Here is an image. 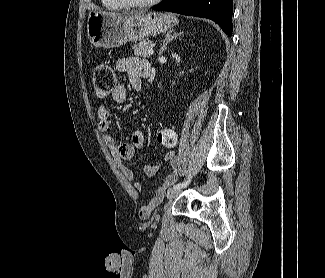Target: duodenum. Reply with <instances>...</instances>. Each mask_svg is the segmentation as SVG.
<instances>
[{"mask_svg": "<svg viewBox=\"0 0 325 278\" xmlns=\"http://www.w3.org/2000/svg\"><path fill=\"white\" fill-rule=\"evenodd\" d=\"M146 74H147V77H150L152 74V68L150 65L147 67Z\"/></svg>", "mask_w": 325, "mask_h": 278, "instance_id": "410a0bca", "label": "duodenum"}]
</instances>
